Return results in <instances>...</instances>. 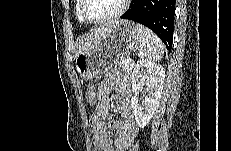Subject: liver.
Returning a JSON list of instances; mask_svg holds the SVG:
<instances>
[{
  "label": "liver",
  "instance_id": "obj_1",
  "mask_svg": "<svg viewBox=\"0 0 231 151\" xmlns=\"http://www.w3.org/2000/svg\"><path fill=\"white\" fill-rule=\"evenodd\" d=\"M112 23H107L100 25L99 27L93 29L90 33L80 37L77 40V51L76 56L83 53L90 47L96 45L101 37L105 34V32L109 29Z\"/></svg>",
  "mask_w": 231,
  "mask_h": 151
}]
</instances>
